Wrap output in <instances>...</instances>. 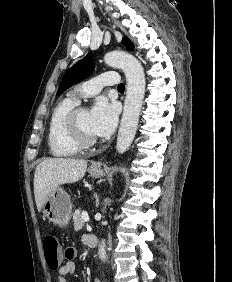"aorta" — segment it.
I'll use <instances>...</instances> for the list:
<instances>
[{"label": "aorta", "mask_w": 232, "mask_h": 282, "mask_svg": "<svg viewBox=\"0 0 232 282\" xmlns=\"http://www.w3.org/2000/svg\"><path fill=\"white\" fill-rule=\"evenodd\" d=\"M104 61L109 66L121 68L127 81L124 110L116 142V150L122 154L128 150L136 134L145 94V75L141 63L125 51L108 52ZM98 255L102 261H106L104 240L99 246Z\"/></svg>", "instance_id": "obj_1"}]
</instances>
